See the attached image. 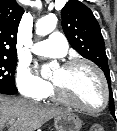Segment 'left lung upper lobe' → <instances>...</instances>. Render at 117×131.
Segmentation results:
<instances>
[{
  "label": "left lung upper lobe",
  "mask_w": 117,
  "mask_h": 131,
  "mask_svg": "<svg viewBox=\"0 0 117 131\" xmlns=\"http://www.w3.org/2000/svg\"><path fill=\"white\" fill-rule=\"evenodd\" d=\"M62 28L70 45L84 58L93 61L105 73L109 90V108L115 118L111 78L100 26L92 11L78 0H69L61 11Z\"/></svg>",
  "instance_id": "1"
}]
</instances>
